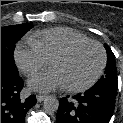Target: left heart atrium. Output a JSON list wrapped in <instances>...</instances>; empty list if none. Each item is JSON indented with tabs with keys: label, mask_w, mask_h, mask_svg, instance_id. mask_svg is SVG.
Returning a JSON list of instances; mask_svg holds the SVG:
<instances>
[{
	"label": "left heart atrium",
	"mask_w": 123,
	"mask_h": 123,
	"mask_svg": "<svg viewBox=\"0 0 123 123\" xmlns=\"http://www.w3.org/2000/svg\"><path fill=\"white\" fill-rule=\"evenodd\" d=\"M28 85L32 90L48 92L64 87L65 83L59 72L51 68L30 78Z\"/></svg>",
	"instance_id": "39dd6f15"
}]
</instances>
